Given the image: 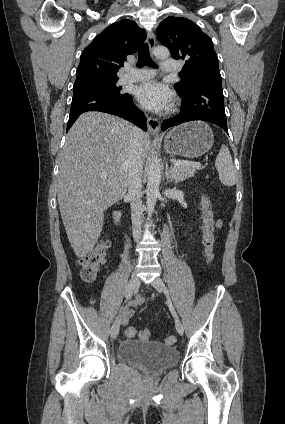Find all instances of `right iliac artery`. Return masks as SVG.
Wrapping results in <instances>:
<instances>
[{
  "label": "right iliac artery",
  "instance_id": "1",
  "mask_svg": "<svg viewBox=\"0 0 285 424\" xmlns=\"http://www.w3.org/2000/svg\"><path fill=\"white\" fill-rule=\"evenodd\" d=\"M132 290H131V288L129 287V285H128V287H127V290H126V294H125V303L126 302H128L130 299H131V297H132ZM124 307H122L121 308V310L123 309Z\"/></svg>",
  "mask_w": 285,
  "mask_h": 424
}]
</instances>
